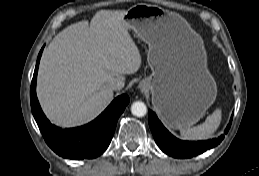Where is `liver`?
<instances>
[{
  "label": "liver",
  "mask_w": 259,
  "mask_h": 176,
  "mask_svg": "<svg viewBox=\"0 0 259 176\" xmlns=\"http://www.w3.org/2000/svg\"><path fill=\"white\" fill-rule=\"evenodd\" d=\"M127 10H100L59 32L44 51L37 97L62 127L85 124L113 100L110 84L137 72L141 56L123 21Z\"/></svg>",
  "instance_id": "1"
}]
</instances>
